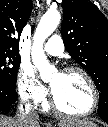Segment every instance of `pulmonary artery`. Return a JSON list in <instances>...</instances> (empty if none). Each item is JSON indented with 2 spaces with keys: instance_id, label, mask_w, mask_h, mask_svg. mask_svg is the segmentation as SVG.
I'll list each match as a JSON object with an SVG mask.
<instances>
[{
  "instance_id": "pulmonary-artery-1",
  "label": "pulmonary artery",
  "mask_w": 108,
  "mask_h": 127,
  "mask_svg": "<svg viewBox=\"0 0 108 127\" xmlns=\"http://www.w3.org/2000/svg\"><path fill=\"white\" fill-rule=\"evenodd\" d=\"M44 50L53 56H59L64 52V45L62 39L58 35H53L44 45Z\"/></svg>"
}]
</instances>
